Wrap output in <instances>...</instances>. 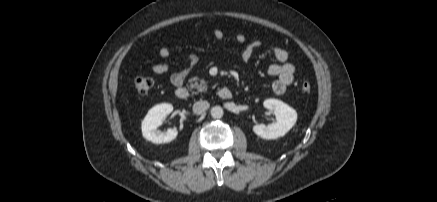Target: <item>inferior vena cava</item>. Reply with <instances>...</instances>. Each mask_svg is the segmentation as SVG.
<instances>
[{"label": "inferior vena cava", "instance_id": "obj_1", "mask_svg": "<svg viewBox=\"0 0 437 202\" xmlns=\"http://www.w3.org/2000/svg\"><path fill=\"white\" fill-rule=\"evenodd\" d=\"M210 107V104L207 101H197L193 105V112L197 115L205 113Z\"/></svg>", "mask_w": 437, "mask_h": 202}]
</instances>
